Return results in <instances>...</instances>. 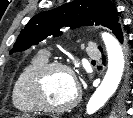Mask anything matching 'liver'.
I'll return each instance as SVG.
<instances>
[{
  "label": "liver",
  "instance_id": "obj_1",
  "mask_svg": "<svg viewBox=\"0 0 133 118\" xmlns=\"http://www.w3.org/2000/svg\"><path fill=\"white\" fill-rule=\"evenodd\" d=\"M17 118H32L30 115H22L21 117H17Z\"/></svg>",
  "mask_w": 133,
  "mask_h": 118
}]
</instances>
